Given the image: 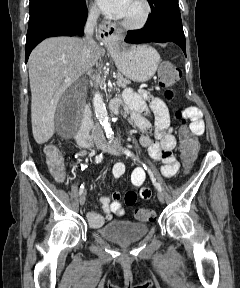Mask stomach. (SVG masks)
I'll return each instance as SVG.
<instances>
[{
  "label": "stomach",
  "instance_id": "obj_1",
  "mask_svg": "<svg viewBox=\"0 0 240 288\" xmlns=\"http://www.w3.org/2000/svg\"><path fill=\"white\" fill-rule=\"evenodd\" d=\"M118 70L135 82H146L155 74L160 55L149 45H134L129 48L115 43L109 48Z\"/></svg>",
  "mask_w": 240,
  "mask_h": 288
}]
</instances>
